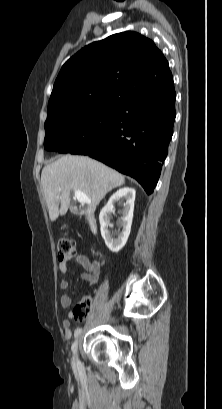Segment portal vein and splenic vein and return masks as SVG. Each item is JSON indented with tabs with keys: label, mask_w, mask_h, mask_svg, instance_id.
I'll list each match as a JSON object with an SVG mask.
<instances>
[{
	"label": "portal vein and splenic vein",
	"mask_w": 222,
	"mask_h": 409,
	"mask_svg": "<svg viewBox=\"0 0 222 409\" xmlns=\"http://www.w3.org/2000/svg\"><path fill=\"white\" fill-rule=\"evenodd\" d=\"M74 196H75V198L80 202V203H82V204H90L91 203V200L88 198V196L84 193V192H82V191H79V190H76V191H74Z\"/></svg>",
	"instance_id": "18ae733b"
}]
</instances>
